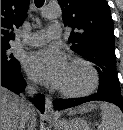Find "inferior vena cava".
I'll return each instance as SVG.
<instances>
[{"instance_id": "1", "label": "inferior vena cava", "mask_w": 123, "mask_h": 130, "mask_svg": "<svg viewBox=\"0 0 123 130\" xmlns=\"http://www.w3.org/2000/svg\"><path fill=\"white\" fill-rule=\"evenodd\" d=\"M26 92H27L28 96H30V97H33L37 93L36 89L33 86H29V85L26 88ZM31 110H32V107H31V104L29 103V104H27L26 109L23 112L24 127H25V124L29 123Z\"/></svg>"}]
</instances>
